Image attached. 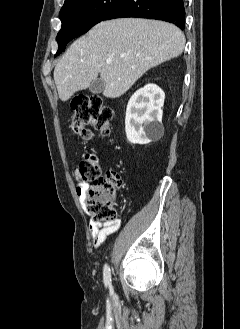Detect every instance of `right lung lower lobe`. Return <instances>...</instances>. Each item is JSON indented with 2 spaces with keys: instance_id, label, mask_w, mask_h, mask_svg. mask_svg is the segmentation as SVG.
I'll list each match as a JSON object with an SVG mask.
<instances>
[{
  "instance_id": "98d812e1",
  "label": "right lung lower lobe",
  "mask_w": 240,
  "mask_h": 329,
  "mask_svg": "<svg viewBox=\"0 0 240 329\" xmlns=\"http://www.w3.org/2000/svg\"><path fill=\"white\" fill-rule=\"evenodd\" d=\"M124 17L158 19L185 28L183 0H122L103 20Z\"/></svg>"
}]
</instances>
